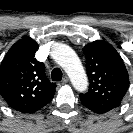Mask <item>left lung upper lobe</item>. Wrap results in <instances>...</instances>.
Returning a JSON list of instances; mask_svg holds the SVG:
<instances>
[{
	"mask_svg": "<svg viewBox=\"0 0 133 133\" xmlns=\"http://www.w3.org/2000/svg\"><path fill=\"white\" fill-rule=\"evenodd\" d=\"M89 90L80 94L89 110L103 114L118 107L129 86L128 72L119 53L105 41H94L83 48Z\"/></svg>",
	"mask_w": 133,
	"mask_h": 133,
	"instance_id": "1",
	"label": "left lung upper lobe"
}]
</instances>
